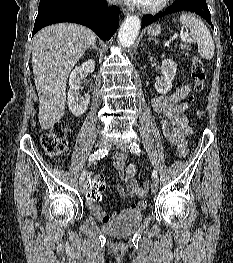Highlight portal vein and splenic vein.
<instances>
[{
  "label": "portal vein and splenic vein",
  "mask_w": 233,
  "mask_h": 263,
  "mask_svg": "<svg viewBox=\"0 0 233 263\" xmlns=\"http://www.w3.org/2000/svg\"><path fill=\"white\" fill-rule=\"evenodd\" d=\"M181 39H182L183 41H189V42H191V40L189 39L188 33H183V34H181Z\"/></svg>",
  "instance_id": "1"
}]
</instances>
